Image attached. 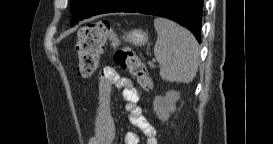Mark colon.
I'll use <instances>...</instances> for the list:
<instances>
[{
  "label": "colon",
  "mask_w": 273,
  "mask_h": 144,
  "mask_svg": "<svg viewBox=\"0 0 273 144\" xmlns=\"http://www.w3.org/2000/svg\"><path fill=\"white\" fill-rule=\"evenodd\" d=\"M107 39H110L117 47L114 56L115 64L136 78L143 89L150 90L151 81L146 66L130 47L120 44V40L112 31L110 22L106 19L90 23L79 31L76 45L79 76L86 79L96 72L102 47Z\"/></svg>",
  "instance_id": "5ec220e1"
}]
</instances>
